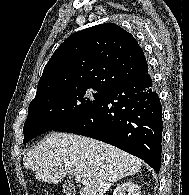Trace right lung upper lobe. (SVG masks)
<instances>
[{
  "label": "right lung upper lobe",
  "mask_w": 189,
  "mask_h": 195,
  "mask_svg": "<svg viewBox=\"0 0 189 195\" xmlns=\"http://www.w3.org/2000/svg\"><path fill=\"white\" fill-rule=\"evenodd\" d=\"M146 68L144 53L129 32L112 23L96 25L59 46L43 70L35 98L72 87L109 89L143 75Z\"/></svg>",
  "instance_id": "1"
}]
</instances>
